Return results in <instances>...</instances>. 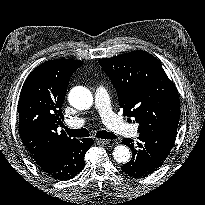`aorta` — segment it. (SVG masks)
Returning <instances> with one entry per match:
<instances>
[{"mask_svg": "<svg viewBox=\"0 0 205 205\" xmlns=\"http://www.w3.org/2000/svg\"><path fill=\"white\" fill-rule=\"evenodd\" d=\"M72 107L78 110H87L93 105V96L87 88L76 86L68 95ZM113 157L118 163H127L130 160V151L125 145H118L113 150Z\"/></svg>", "mask_w": 205, "mask_h": 205, "instance_id": "obj_1", "label": "aorta"}]
</instances>
